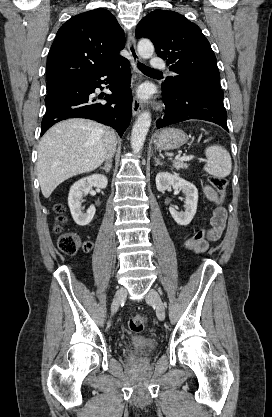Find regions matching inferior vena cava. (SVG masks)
<instances>
[{"mask_svg": "<svg viewBox=\"0 0 272 417\" xmlns=\"http://www.w3.org/2000/svg\"><path fill=\"white\" fill-rule=\"evenodd\" d=\"M116 147V136L115 133L112 132L111 137L107 141V147H106V153H105V159L109 162L111 161L112 157L114 156Z\"/></svg>", "mask_w": 272, "mask_h": 417, "instance_id": "1", "label": "inferior vena cava"}]
</instances>
